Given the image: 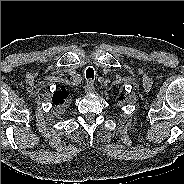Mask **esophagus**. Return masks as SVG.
Instances as JSON below:
<instances>
[{"label":"esophagus","instance_id":"1","mask_svg":"<svg viewBox=\"0 0 184 184\" xmlns=\"http://www.w3.org/2000/svg\"><path fill=\"white\" fill-rule=\"evenodd\" d=\"M85 92L86 93H94L95 91V87H94V84H93V81H88L87 84L85 85Z\"/></svg>","mask_w":184,"mask_h":184}]
</instances>
